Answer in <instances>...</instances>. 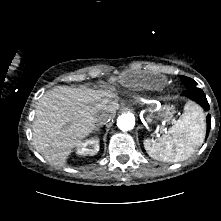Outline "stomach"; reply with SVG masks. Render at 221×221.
<instances>
[{
	"instance_id": "obj_1",
	"label": "stomach",
	"mask_w": 221,
	"mask_h": 221,
	"mask_svg": "<svg viewBox=\"0 0 221 221\" xmlns=\"http://www.w3.org/2000/svg\"><path fill=\"white\" fill-rule=\"evenodd\" d=\"M121 84L132 91H161L167 85V79L162 74L140 72L136 70H123L118 75Z\"/></svg>"
}]
</instances>
